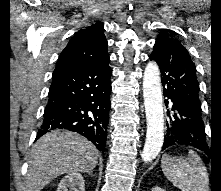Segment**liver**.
<instances>
[{
  "label": "liver",
  "mask_w": 221,
  "mask_h": 191,
  "mask_svg": "<svg viewBox=\"0 0 221 191\" xmlns=\"http://www.w3.org/2000/svg\"><path fill=\"white\" fill-rule=\"evenodd\" d=\"M98 163V151L83 136L52 130L33 146L26 174V191H40L62 174L89 172Z\"/></svg>",
  "instance_id": "liver-1"
}]
</instances>
